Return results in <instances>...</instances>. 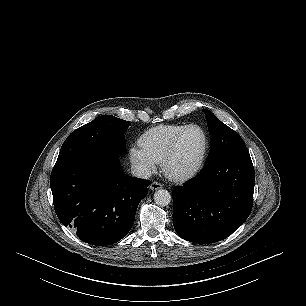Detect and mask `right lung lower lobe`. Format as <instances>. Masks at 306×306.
Wrapping results in <instances>:
<instances>
[{
    "label": "right lung lower lobe",
    "mask_w": 306,
    "mask_h": 306,
    "mask_svg": "<svg viewBox=\"0 0 306 306\" xmlns=\"http://www.w3.org/2000/svg\"><path fill=\"white\" fill-rule=\"evenodd\" d=\"M148 180L123 173L115 154H89L55 166L50 177L55 212L84 242L106 246L131 229Z\"/></svg>",
    "instance_id": "right-lung-lower-lobe-1"
}]
</instances>
